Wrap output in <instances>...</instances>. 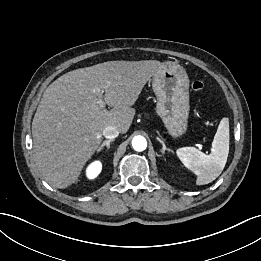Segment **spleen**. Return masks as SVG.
Returning a JSON list of instances; mask_svg holds the SVG:
<instances>
[{"mask_svg": "<svg viewBox=\"0 0 261 261\" xmlns=\"http://www.w3.org/2000/svg\"><path fill=\"white\" fill-rule=\"evenodd\" d=\"M229 153V121L223 118L212 142L211 153L204 154L195 147H183L176 151L186 168L197 176L196 184L214 181L223 171Z\"/></svg>", "mask_w": 261, "mask_h": 261, "instance_id": "1", "label": "spleen"}]
</instances>
